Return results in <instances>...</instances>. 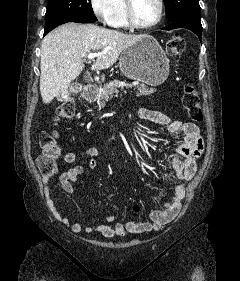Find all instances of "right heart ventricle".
I'll use <instances>...</instances> for the list:
<instances>
[{"mask_svg": "<svg viewBox=\"0 0 240 281\" xmlns=\"http://www.w3.org/2000/svg\"><path fill=\"white\" fill-rule=\"evenodd\" d=\"M114 12L109 24L115 28H127L129 26L126 13L125 0L113 1Z\"/></svg>", "mask_w": 240, "mask_h": 281, "instance_id": "obj_1", "label": "right heart ventricle"}]
</instances>
